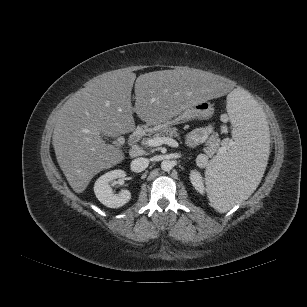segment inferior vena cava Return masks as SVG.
I'll return each mask as SVG.
<instances>
[{"instance_id": "obj_1", "label": "inferior vena cava", "mask_w": 307, "mask_h": 307, "mask_svg": "<svg viewBox=\"0 0 307 307\" xmlns=\"http://www.w3.org/2000/svg\"><path fill=\"white\" fill-rule=\"evenodd\" d=\"M148 165H149L148 158L139 157L131 162L130 167L133 172L139 173L144 171L148 167Z\"/></svg>"}]
</instances>
